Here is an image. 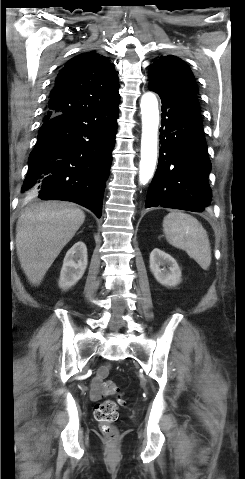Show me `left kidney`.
Segmentation results:
<instances>
[{
    "label": "left kidney",
    "instance_id": "1",
    "mask_svg": "<svg viewBox=\"0 0 245 479\" xmlns=\"http://www.w3.org/2000/svg\"><path fill=\"white\" fill-rule=\"evenodd\" d=\"M149 262L150 271L160 284L169 287H175L180 284L182 276L181 269L172 256L155 248L150 253Z\"/></svg>",
    "mask_w": 245,
    "mask_h": 479
}]
</instances>
